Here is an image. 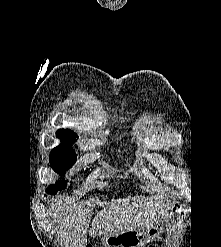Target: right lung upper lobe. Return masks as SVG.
Returning <instances> with one entry per match:
<instances>
[{
  "label": "right lung upper lobe",
  "mask_w": 221,
  "mask_h": 247,
  "mask_svg": "<svg viewBox=\"0 0 221 247\" xmlns=\"http://www.w3.org/2000/svg\"><path fill=\"white\" fill-rule=\"evenodd\" d=\"M56 134L58 135H64V136H68V137H74V138H78L77 134H75L73 131L69 130V129H60L56 132Z\"/></svg>",
  "instance_id": "cb5924a9"
}]
</instances>
